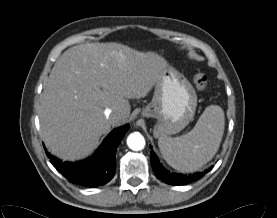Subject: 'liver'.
<instances>
[{
	"label": "liver",
	"mask_w": 277,
	"mask_h": 218,
	"mask_svg": "<svg viewBox=\"0 0 277 218\" xmlns=\"http://www.w3.org/2000/svg\"><path fill=\"white\" fill-rule=\"evenodd\" d=\"M167 66L154 52L118 43L67 49L51 70L38 109L48 149L63 160L88 156L111 126L127 121L129 99L146 97ZM106 108L113 112L110 119Z\"/></svg>",
	"instance_id": "obj_1"
}]
</instances>
